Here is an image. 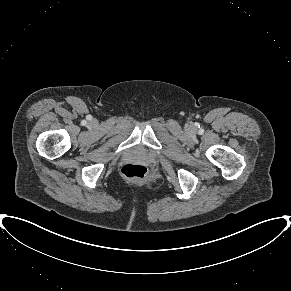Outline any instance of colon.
Here are the masks:
<instances>
[{
    "label": "colon",
    "mask_w": 291,
    "mask_h": 291,
    "mask_svg": "<svg viewBox=\"0 0 291 291\" xmlns=\"http://www.w3.org/2000/svg\"><path fill=\"white\" fill-rule=\"evenodd\" d=\"M122 173L128 179L141 181L147 177L148 170L143 165L126 164L122 168Z\"/></svg>",
    "instance_id": "obj_1"
}]
</instances>
